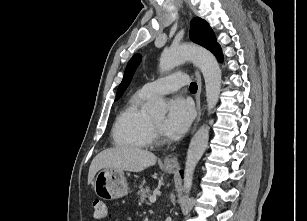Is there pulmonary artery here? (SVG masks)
I'll return each instance as SVG.
<instances>
[{"mask_svg":"<svg viewBox=\"0 0 307 221\" xmlns=\"http://www.w3.org/2000/svg\"><path fill=\"white\" fill-rule=\"evenodd\" d=\"M188 83V76L184 73H175L153 82L146 83L141 91L150 97H157L177 91Z\"/></svg>","mask_w":307,"mask_h":221,"instance_id":"pulmonary-artery-1","label":"pulmonary artery"}]
</instances>
